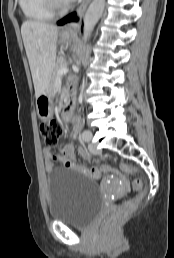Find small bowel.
<instances>
[{
	"mask_svg": "<svg viewBox=\"0 0 174 258\" xmlns=\"http://www.w3.org/2000/svg\"><path fill=\"white\" fill-rule=\"evenodd\" d=\"M74 125V134L82 129V122L80 119H76L73 123ZM80 155L82 156V162H91V157L83 149L79 150ZM45 159V169L47 172H51L54 169V162H61L64 167L72 170H80L87 173L88 179H99L102 172H112V167H89L88 170L77 164L75 161V151L72 145H65L61 148L60 153H53L50 148H45L43 151ZM116 179H120V184L122 189H129V179H123V174H116Z\"/></svg>",
	"mask_w": 174,
	"mask_h": 258,
	"instance_id": "c3829d8e",
	"label": "small bowel"
}]
</instances>
